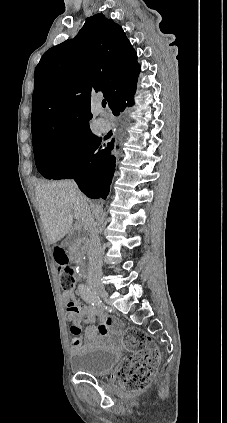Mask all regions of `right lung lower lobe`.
I'll return each instance as SVG.
<instances>
[{"instance_id":"right-lung-lower-lobe-1","label":"right lung lower lobe","mask_w":227,"mask_h":423,"mask_svg":"<svg viewBox=\"0 0 227 423\" xmlns=\"http://www.w3.org/2000/svg\"><path fill=\"white\" fill-rule=\"evenodd\" d=\"M134 104L133 96L111 107L118 116L127 107ZM114 143L101 146V138L94 137L88 150L80 159L76 171L68 178H74L80 190L89 198L106 199L113 173L115 171Z\"/></svg>"}]
</instances>
